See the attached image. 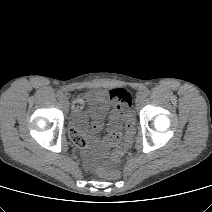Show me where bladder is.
Masks as SVG:
<instances>
[{"label":"bladder","mask_w":212,"mask_h":212,"mask_svg":"<svg viewBox=\"0 0 212 212\" xmlns=\"http://www.w3.org/2000/svg\"><path fill=\"white\" fill-rule=\"evenodd\" d=\"M92 96V92L86 94V98L89 99ZM88 112L84 108H77L72 114V122L77 128L85 127L87 123Z\"/></svg>","instance_id":"31cf9c89"}]
</instances>
